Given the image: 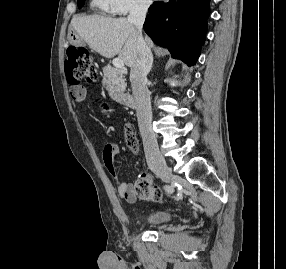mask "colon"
I'll return each mask as SVG.
<instances>
[{"label": "colon", "mask_w": 286, "mask_h": 269, "mask_svg": "<svg viewBox=\"0 0 286 269\" xmlns=\"http://www.w3.org/2000/svg\"><path fill=\"white\" fill-rule=\"evenodd\" d=\"M65 70L67 78L74 88H78L83 84L94 83L97 78L94 60L84 48H68ZM126 143L130 150L137 151L138 141L130 125L126 126ZM134 187L136 197L141 201L155 202L161 198L160 189L152 185L147 174L139 175Z\"/></svg>", "instance_id": "obj_1"}]
</instances>
